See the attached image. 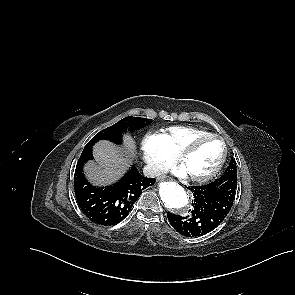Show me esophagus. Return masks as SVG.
Listing matches in <instances>:
<instances>
[{"label": "esophagus", "instance_id": "obj_1", "mask_svg": "<svg viewBox=\"0 0 295 295\" xmlns=\"http://www.w3.org/2000/svg\"><path fill=\"white\" fill-rule=\"evenodd\" d=\"M166 179H168V177L167 176H161V177H159V180H166Z\"/></svg>", "mask_w": 295, "mask_h": 295}]
</instances>
